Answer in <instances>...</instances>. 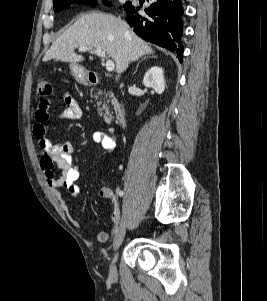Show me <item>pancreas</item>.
<instances>
[{
    "instance_id": "obj_1",
    "label": "pancreas",
    "mask_w": 267,
    "mask_h": 301,
    "mask_svg": "<svg viewBox=\"0 0 267 301\" xmlns=\"http://www.w3.org/2000/svg\"><path fill=\"white\" fill-rule=\"evenodd\" d=\"M104 95L105 98L103 101H98L97 105H98V112L100 114H102V111H104L105 113L103 114L104 119L106 122H111L112 116L110 114V107L108 106L109 103H111L112 105L116 106L117 103V99L115 98L114 94L110 91V92H102L99 91L97 97ZM100 105L102 107H100Z\"/></svg>"
}]
</instances>
